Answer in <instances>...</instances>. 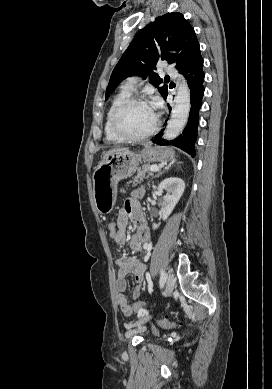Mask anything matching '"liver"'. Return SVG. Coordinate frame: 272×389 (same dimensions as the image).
Instances as JSON below:
<instances>
[{
	"mask_svg": "<svg viewBox=\"0 0 272 389\" xmlns=\"http://www.w3.org/2000/svg\"><path fill=\"white\" fill-rule=\"evenodd\" d=\"M125 150H128L127 148H116V149H111L109 151H107L104 156H103V160H105L107 157L115 154V153H118V152H122V151H125Z\"/></svg>",
	"mask_w": 272,
	"mask_h": 389,
	"instance_id": "obj_1",
	"label": "liver"
}]
</instances>
